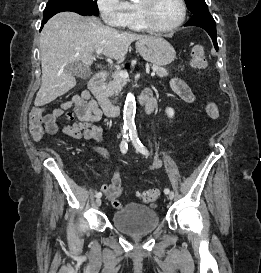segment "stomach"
<instances>
[{
    "label": "stomach",
    "mask_w": 261,
    "mask_h": 273,
    "mask_svg": "<svg viewBox=\"0 0 261 273\" xmlns=\"http://www.w3.org/2000/svg\"><path fill=\"white\" fill-rule=\"evenodd\" d=\"M136 49L146 60L157 66H166L176 58L172 45L162 37H149L136 42Z\"/></svg>",
    "instance_id": "1"
}]
</instances>
